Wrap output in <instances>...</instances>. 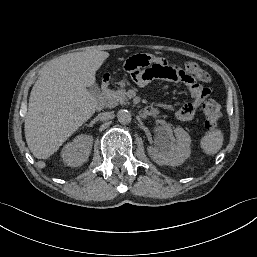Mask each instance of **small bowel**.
Wrapping results in <instances>:
<instances>
[{"mask_svg": "<svg viewBox=\"0 0 257 257\" xmlns=\"http://www.w3.org/2000/svg\"><path fill=\"white\" fill-rule=\"evenodd\" d=\"M123 68L127 74L131 75L133 84L139 88L148 86L151 80L164 79L173 82L177 87L189 90L193 101L175 111V117L181 121H191L195 117L199 101L209 95V90L199 86L192 74H188L164 59L155 58L148 52L127 57Z\"/></svg>", "mask_w": 257, "mask_h": 257, "instance_id": "small-bowel-1", "label": "small bowel"}]
</instances>
